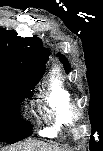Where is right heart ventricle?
I'll return each mask as SVG.
<instances>
[{"mask_svg": "<svg viewBox=\"0 0 103 151\" xmlns=\"http://www.w3.org/2000/svg\"><path fill=\"white\" fill-rule=\"evenodd\" d=\"M71 95L63 84L57 72H54L46 83V88L41 95V110L46 122L40 135L55 137L63 134L68 126V106Z\"/></svg>", "mask_w": 103, "mask_h": 151, "instance_id": "e07e8e85", "label": "right heart ventricle"}]
</instances>
